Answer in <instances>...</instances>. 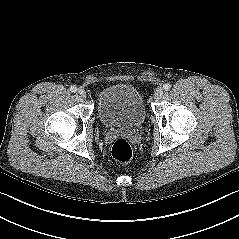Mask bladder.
Instances as JSON below:
<instances>
[{
	"mask_svg": "<svg viewBox=\"0 0 239 239\" xmlns=\"http://www.w3.org/2000/svg\"><path fill=\"white\" fill-rule=\"evenodd\" d=\"M98 116L106 128H134L144 122L146 112L141 93L123 83L104 88L98 96Z\"/></svg>",
	"mask_w": 239,
	"mask_h": 239,
	"instance_id": "bladder-1",
	"label": "bladder"
}]
</instances>
